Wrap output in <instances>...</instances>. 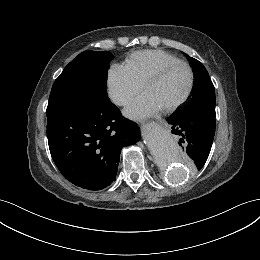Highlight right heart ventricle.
I'll return each instance as SVG.
<instances>
[{"label":"right heart ventricle","mask_w":260,"mask_h":260,"mask_svg":"<svg viewBox=\"0 0 260 260\" xmlns=\"http://www.w3.org/2000/svg\"><path fill=\"white\" fill-rule=\"evenodd\" d=\"M181 61L162 50H141L132 53L125 61L129 73L141 84L164 65Z\"/></svg>","instance_id":"1"}]
</instances>
